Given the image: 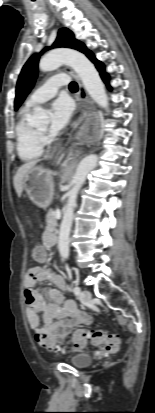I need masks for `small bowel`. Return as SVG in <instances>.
Returning a JSON list of instances; mask_svg holds the SVG:
<instances>
[{
    "label": "small bowel",
    "mask_w": 155,
    "mask_h": 413,
    "mask_svg": "<svg viewBox=\"0 0 155 413\" xmlns=\"http://www.w3.org/2000/svg\"><path fill=\"white\" fill-rule=\"evenodd\" d=\"M51 232V229H47L42 235L45 248L52 246ZM42 280L49 281L55 288L47 289L45 292L35 289V284ZM24 286L27 320L38 342L41 339L54 343L62 342L75 327L91 323V317L79 311L73 300L64 298L62 293L65 288L64 279L51 273L47 268L29 267ZM39 313H42V321Z\"/></svg>",
    "instance_id": "obj_1"
}]
</instances>
